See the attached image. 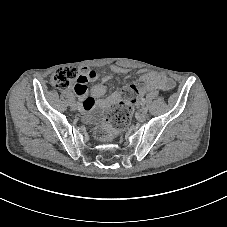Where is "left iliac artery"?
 I'll return each instance as SVG.
<instances>
[{
  "mask_svg": "<svg viewBox=\"0 0 227 227\" xmlns=\"http://www.w3.org/2000/svg\"><path fill=\"white\" fill-rule=\"evenodd\" d=\"M141 104L145 105L146 104V99L145 98H141Z\"/></svg>",
  "mask_w": 227,
  "mask_h": 227,
  "instance_id": "left-iliac-artery-1",
  "label": "left iliac artery"
}]
</instances>
